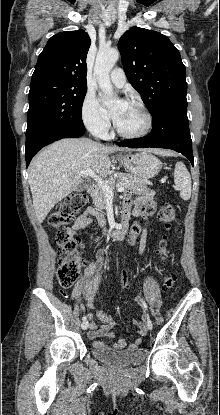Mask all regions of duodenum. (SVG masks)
<instances>
[{"instance_id":"1","label":"duodenum","mask_w":220,"mask_h":415,"mask_svg":"<svg viewBox=\"0 0 220 415\" xmlns=\"http://www.w3.org/2000/svg\"><path fill=\"white\" fill-rule=\"evenodd\" d=\"M88 193H94L96 191V185L95 184H89L87 187ZM128 215H122L120 223L113 229L105 228V234L110 237L115 238H123L127 232L128 227Z\"/></svg>"}]
</instances>
